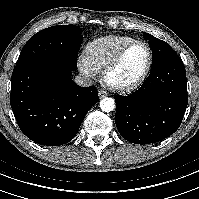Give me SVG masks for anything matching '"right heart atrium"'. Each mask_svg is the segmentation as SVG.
Listing matches in <instances>:
<instances>
[{
    "mask_svg": "<svg viewBox=\"0 0 199 199\" xmlns=\"http://www.w3.org/2000/svg\"><path fill=\"white\" fill-rule=\"evenodd\" d=\"M79 70L89 79H95L100 74V70L93 64L87 52H82L77 58Z\"/></svg>",
    "mask_w": 199,
    "mask_h": 199,
    "instance_id": "right-heart-atrium-1",
    "label": "right heart atrium"
}]
</instances>
